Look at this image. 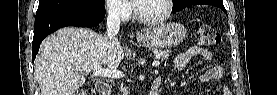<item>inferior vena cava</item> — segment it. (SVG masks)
Returning a JSON list of instances; mask_svg holds the SVG:
<instances>
[{
  "mask_svg": "<svg viewBox=\"0 0 277 95\" xmlns=\"http://www.w3.org/2000/svg\"><path fill=\"white\" fill-rule=\"evenodd\" d=\"M120 28V10L118 6H112L108 11L107 18V35L109 43L114 46L117 44L118 39L116 35L119 32Z\"/></svg>",
  "mask_w": 277,
  "mask_h": 95,
  "instance_id": "obj_1",
  "label": "inferior vena cava"
}]
</instances>
